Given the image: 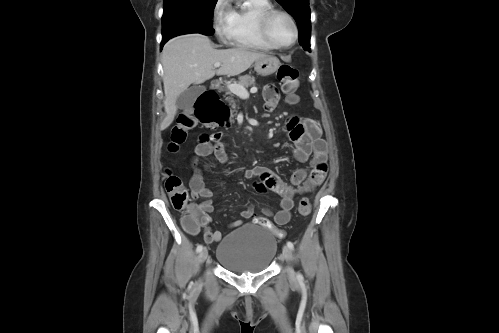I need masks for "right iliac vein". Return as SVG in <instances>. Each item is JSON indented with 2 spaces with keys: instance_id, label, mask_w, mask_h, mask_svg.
Returning a JSON list of instances; mask_svg holds the SVG:
<instances>
[{
  "instance_id": "right-iliac-vein-1",
  "label": "right iliac vein",
  "mask_w": 499,
  "mask_h": 333,
  "mask_svg": "<svg viewBox=\"0 0 499 333\" xmlns=\"http://www.w3.org/2000/svg\"><path fill=\"white\" fill-rule=\"evenodd\" d=\"M208 257V249L205 247L201 250L199 254V259L201 262H204Z\"/></svg>"
}]
</instances>
